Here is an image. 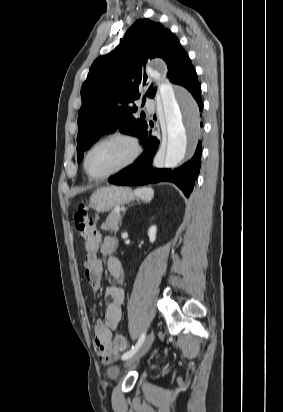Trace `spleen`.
I'll return each instance as SVG.
<instances>
[{
  "instance_id": "3e777b00",
  "label": "spleen",
  "mask_w": 283,
  "mask_h": 412,
  "mask_svg": "<svg viewBox=\"0 0 283 412\" xmlns=\"http://www.w3.org/2000/svg\"><path fill=\"white\" fill-rule=\"evenodd\" d=\"M134 193L137 197L145 201H150L154 196V190L150 187L135 189Z\"/></svg>"
}]
</instances>
